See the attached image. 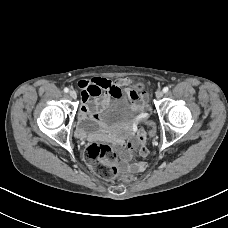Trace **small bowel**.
<instances>
[{
    "instance_id": "1",
    "label": "small bowel",
    "mask_w": 228,
    "mask_h": 228,
    "mask_svg": "<svg viewBox=\"0 0 228 228\" xmlns=\"http://www.w3.org/2000/svg\"><path fill=\"white\" fill-rule=\"evenodd\" d=\"M78 86L81 89L82 102L79 112L81 136H84L100 120L101 112L114 97L126 96L130 103L140 110H145L147 107L146 93L129 78L111 81L106 78L93 77L80 80ZM144 140V134L139 132L126 143L118 142L123 162L122 168L125 171L139 173L146 169L147 164L144 159L147 156V148ZM136 148H139L142 160L131 163L132 152Z\"/></svg>"
}]
</instances>
